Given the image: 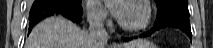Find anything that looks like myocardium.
Here are the masks:
<instances>
[{
  "label": "myocardium",
  "mask_w": 213,
  "mask_h": 48,
  "mask_svg": "<svg viewBox=\"0 0 213 48\" xmlns=\"http://www.w3.org/2000/svg\"><path fill=\"white\" fill-rule=\"evenodd\" d=\"M127 4H135L140 6L144 12H145V17L142 23H140L137 26H128L126 25L122 20H119V26L120 28L128 33H138L144 29H146L151 21L152 18V9L148 3V1L145 0H129L127 1Z\"/></svg>",
  "instance_id": "f54148a6"
}]
</instances>
